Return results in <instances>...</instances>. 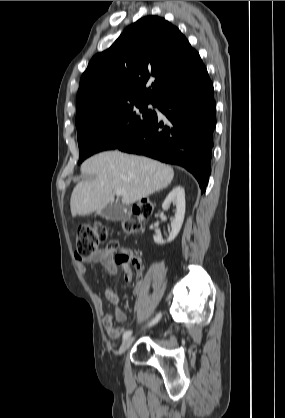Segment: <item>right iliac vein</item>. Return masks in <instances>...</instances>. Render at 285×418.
<instances>
[{
	"label": "right iliac vein",
	"mask_w": 285,
	"mask_h": 418,
	"mask_svg": "<svg viewBox=\"0 0 285 418\" xmlns=\"http://www.w3.org/2000/svg\"><path fill=\"white\" fill-rule=\"evenodd\" d=\"M133 342H134V337H128L127 339H125L119 348V354L120 355L124 354L129 349V347L132 345Z\"/></svg>",
	"instance_id": "obj_1"
}]
</instances>
